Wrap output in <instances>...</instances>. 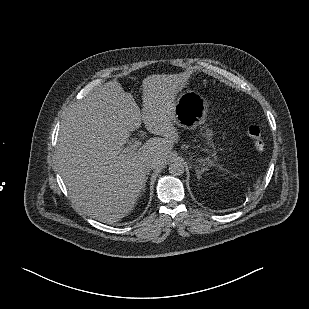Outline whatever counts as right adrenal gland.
<instances>
[{"instance_id":"right-adrenal-gland-1","label":"right adrenal gland","mask_w":309,"mask_h":309,"mask_svg":"<svg viewBox=\"0 0 309 309\" xmlns=\"http://www.w3.org/2000/svg\"><path fill=\"white\" fill-rule=\"evenodd\" d=\"M147 174H148V173H147ZM147 179H148V176H146L145 180L147 181ZM145 186H146V184H144L143 191H145V190H146Z\"/></svg>"}]
</instances>
